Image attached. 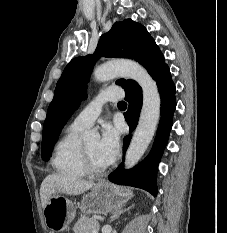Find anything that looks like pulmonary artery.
<instances>
[{
    "label": "pulmonary artery",
    "mask_w": 227,
    "mask_h": 233,
    "mask_svg": "<svg viewBox=\"0 0 227 233\" xmlns=\"http://www.w3.org/2000/svg\"><path fill=\"white\" fill-rule=\"evenodd\" d=\"M122 96L119 89L107 88L101 91L74 119L72 126L79 129L90 127L99 117L106 102H113Z\"/></svg>",
    "instance_id": "e3ab8cb5"
}]
</instances>
